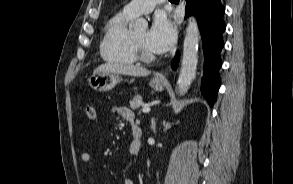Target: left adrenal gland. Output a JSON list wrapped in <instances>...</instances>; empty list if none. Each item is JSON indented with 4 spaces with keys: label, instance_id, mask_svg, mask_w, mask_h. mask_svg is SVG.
I'll list each match as a JSON object with an SVG mask.
<instances>
[{
    "label": "left adrenal gland",
    "instance_id": "left-adrenal-gland-1",
    "mask_svg": "<svg viewBox=\"0 0 293 184\" xmlns=\"http://www.w3.org/2000/svg\"><path fill=\"white\" fill-rule=\"evenodd\" d=\"M155 127H156V120H155V118L153 117V118L151 119V129H152V130H155Z\"/></svg>",
    "mask_w": 293,
    "mask_h": 184
}]
</instances>
